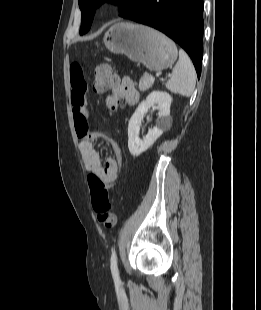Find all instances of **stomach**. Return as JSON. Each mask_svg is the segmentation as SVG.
I'll list each match as a JSON object with an SVG mask.
<instances>
[{
    "label": "stomach",
    "mask_w": 261,
    "mask_h": 310,
    "mask_svg": "<svg viewBox=\"0 0 261 310\" xmlns=\"http://www.w3.org/2000/svg\"><path fill=\"white\" fill-rule=\"evenodd\" d=\"M103 42L114 54H124L151 71L171 67L177 59L176 45L160 32L139 24L120 22L105 33Z\"/></svg>",
    "instance_id": "0dacf381"
}]
</instances>
